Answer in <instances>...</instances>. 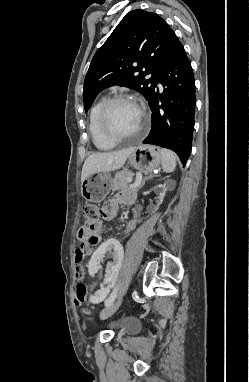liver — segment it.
<instances>
[{
    "instance_id": "liver-1",
    "label": "liver",
    "mask_w": 249,
    "mask_h": 382,
    "mask_svg": "<svg viewBox=\"0 0 249 382\" xmlns=\"http://www.w3.org/2000/svg\"><path fill=\"white\" fill-rule=\"evenodd\" d=\"M133 148L114 152L94 153L89 155L83 165L81 181L96 172H108L121 168L132 153Z\"/></svg>"
}]
</instances>
